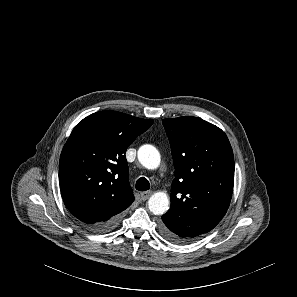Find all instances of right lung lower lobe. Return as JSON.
I'll list each match as a JSON object with an SVG mask.
<instances>
[{
  "label": "right lung lower lobe",
  "mask_w": 297,
  "mask_h": 297,
  "mask_svg": "<svg viewBox=\"0 0 297 297\" xmlns=\"http://www.w3.org/2000/svg\"><path fill=\"white\" fill-rule=\"evenodd\" d=\"M120 219H121V214H118L105 222L98 223L95 225H90V226H87V228L97 233L108 232L118 226V224L120 223Z\"/></svg>",
  "instance_id": "right-lung-lower-lobe-1"
}]
</instances>
